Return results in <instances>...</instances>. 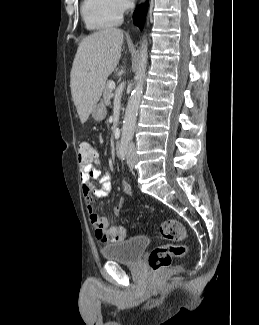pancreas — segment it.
Instances as JSON below:
<instances>
[{"label":"pancreas","mask_w":259,"mask_h":325,"mask_svg":"<svg viewBox=\"0 0 259 325\" xmlns=\"http://www.w3.org/2000/svg\"><path fill=\"white\" fill-rule=\"evenodd\" d=\"M111 81H108L104 88L103 93V103L108 106L110 104V98L112 97V89L110 88L109 84Z\"/></svg>","instance_id":"cf45deb5"}]
</instances>
